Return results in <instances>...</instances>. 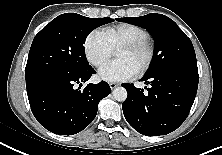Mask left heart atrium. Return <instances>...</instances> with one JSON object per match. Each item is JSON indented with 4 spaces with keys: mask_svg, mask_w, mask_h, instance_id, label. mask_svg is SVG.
<instances>
[{
    "mask_svg": "<svg viewBox=\"0 0 222 155\" xmlns=\"http://www.w3.org/2000/svg\"><path fill=\"white\" fill-rule=\"evenodd\" d=\"M133 68L125 61L116 60L105 64L99 70V77L109 82H121L131 79L135 75Z\"/></svg>",
    "mask_w": 222,
    "mask_h": 155,
    "instance_id": "1",
    "label": "left heart atrium"
}]
</instances>
